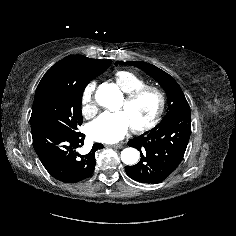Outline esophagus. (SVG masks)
Returning <instances> with one entry per match:
<instances>
[{
    "label": "esophagus",
    "instance_id": "34e87169",
    "mask_svg": "<svg viewBox=\"0 0 236 236\" xmlns=\"http://www.w3.org/2000/svg\"><path fill=\"white\" fill-rule=\"evenodd\" d=\"M108 147H112V148H122L123 144L119 143V144H115V145H108Z\"/></svg>",
    "mask_w": 236,
    "mask_h": 236
}]
</instances>
